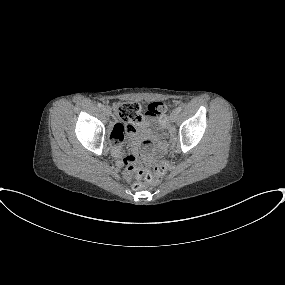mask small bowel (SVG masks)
I'll use <instances>...</instances> for the list:
<instances>
[{"label": "small bowel", "instance_id": "small-bowel-1", "mask_svg": "<svg viewBox=\"0 0 285 285\" xmlns=\"http://www.w3.org/2000/svg\"><path fill=\"white\" fill-rule=\"evenodd\" d=\"M153 122L154 117L149 114L130 133L125 132L120 123L114 126L111 132V154L117 163L122 161L123 141L126 136L131 140L132 156L135 158L140 156L142 143L147 141L153 134L151 128ZM125 178L129 181L131 180V175L126 173Z\"/></svg>", "mask_w": 285, "mask_h": 285}]
</instances>
